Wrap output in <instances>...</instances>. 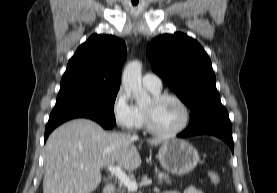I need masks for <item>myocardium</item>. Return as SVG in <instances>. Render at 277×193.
<instances>
[{
  "label": "myocardium",
  "mask_w": 277,
  "mask_h": 193,
  "mask_svg": "<svg viewBox=\"0 0 277 193\" xmlns=\"http://www.w3.org/2000/svg\"><path fill=\"white\" fill-rule=\"evenodd\" d=\"M166 99L175 100L182 107V109L184 111L183 123L175 130L162 131V130L158 129L154 123L151 110L144 108L143 114H144L146 128L151 134L158 136V137H163V138H172V137H175V136L179 135L180 133H182L188 127V125L190 123V119H191V113H190V109H189L187 103L180 96H178L174 93L166 92V93L154 94L152 96L151 100H152L153 104H158Z\"/></svg>",
  "instance_id": "obj_1"
}]
</instances>
